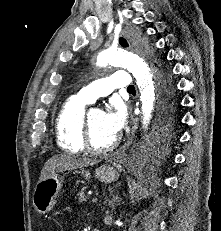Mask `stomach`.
Returning <instances> with one entry per match:
<instances>
[{"mask_svg": "<svg viewBox=\"0 0 221 231\" xmlns=\"http://www.w3.org/2000/svg\"><path fill=\"white\" fill-rule=\"evenodd\" d=\"M81 174L90 178V172L82 170ZM95 177L101 182L112 183L118 180V171L109 163L103 164L95 170ZM63 178L54 174L39 181L33 193V206L40 214L51 211L56 204V197L62 187Z\"/></svg>", "mask_w": 221, "mask_h": 231, "instance_id": "obj_1", "label": "stomach"}]
</instances>
